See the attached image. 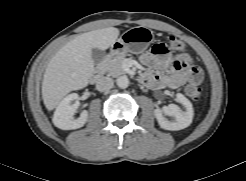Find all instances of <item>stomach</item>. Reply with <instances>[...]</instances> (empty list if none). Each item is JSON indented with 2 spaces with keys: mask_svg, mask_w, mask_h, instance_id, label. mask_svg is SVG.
Returning <instances> with one entry per match:
<instances>
[{
  "mask_svg": "<svg viewBox=\"0 0 246 181\" xmlns=\"http://www.w3.org/2000/svg\"><path fill=\"white\" fill-rule=\"evenodd\" d=\"M153 41V33L146 27H133L125 31L111 45L110 55L120 56L126 53L139 54L144 52Z\"/></svg>",
  "mask_w": 246,
  "mask_h": 181,
  "instance_id": "stomach-1",
  "label": "stomach"
}]
</instances>
